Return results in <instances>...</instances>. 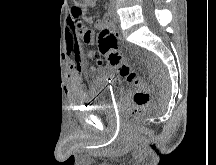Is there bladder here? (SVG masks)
<instances>
[{"instance_id":"31cf9c89","label":"bladder","mask_w":216,"mask_h":165,"mask_svg":"<svg viewBox=\"0 0 216 165\" xmlns=\"http://www.w3.org/2000/svg\"><path fill=\"white\" fill-rule=\"evenodd\" d=\"M119 80V76L105 70L100 76H91V81H84V86H89L87 97H91L92 101H88V106H92V111H110L112 103H117L119 97H125L123 89H118V86H123V81Z\"/></svg>"}]
</instances>
